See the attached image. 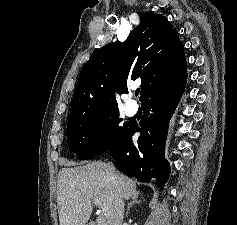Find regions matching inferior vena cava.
Instances as JSON below:
<instances>
[{
	"mask_svg": "<svg viewBox=\"0 0 237 225\" xmlns=\"http://www.w3.org/2000/svg\"><path fill=\"white\" fill-rule=\"evenodd\" d=\"M111 167H112L113 170L115 169L113 165H111Z\"/></svg>",
	"mask_w": 237,
	"mask_h": 225,
	"instance_id": "602c4592",
	"label": "inferior vena cava"
}]
</instances>
